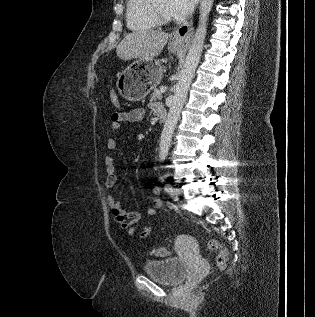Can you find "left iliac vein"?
Segmentation results:
<instances>
[{
  "mask_svg": "<svg viewBox=\"0 0 315 317\" xmlns=\"http://www.w3.org/2000/svg\"><path fill=\"white\" fill-rule=\"evenodd\" d=\"M170 194L172 197H178L181 194V190L179 188H173Z\"/></svg>",
  "mask_w": 315,
  "mask_h": 317,
  "instance_id": "obj_1",
  "label": "left iliac vein"
}]
</instances>
